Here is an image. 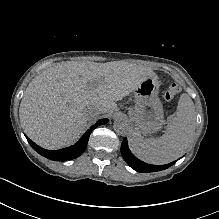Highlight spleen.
Here are the masks:
<instances>
[{
  "instance_id": "obj_1",
  "label": "spleen",
  "mask_w": 219,
  "mask_h": 219,
  "mask_svg": "<svg viewBox=\"0 0 219 219\" xmlns=\"http://www.w3.org/2000/svg\"><path fill=\"white\" fill-rule=\"evenodd\" d=\"M196 129V112L188 95L180 98L174 117L167 124L161 138H143L135 129L129 141V149L139 160L152 165H163L181 157L193 141Z\"/></svg>"
}]
</instances>
